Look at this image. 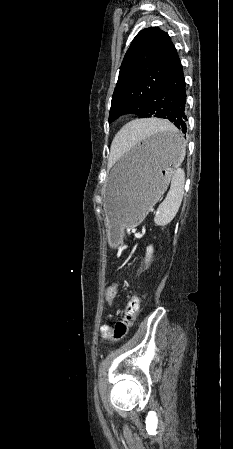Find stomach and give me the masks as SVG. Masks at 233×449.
Segmentation results:
<instances>
[{
  "mask_svg": "<svg viewBox=\"0 0 233 449\" xmlns=\"http://www.w3.org/2000/svg\"><path fill=\"white\" fill-rule=\"evenodd\" d=\"M183 159L178 133H153L111 169L105 185L108 241L117 246L123 229L139 225L166 190Z\"/></svg>",
  "mask_w": 233,
  "mask_h": 449,
  "instance_id": "obj_1",
  "label": "stomach"
}]
</instances>
